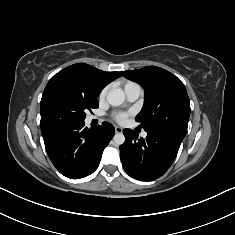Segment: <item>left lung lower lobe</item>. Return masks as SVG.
<instances>
[{"label": "left lung lower lobe", "mask_w": 235, "mask_h": 235, "mask_svg": "<svg viewBox=\"0 0 235 235\" xmlns=\"http://www.w3.org/2000/svg\"><path fill=\"white\" fill-rule=\"evenodd\" d=\"M146 132V139H138L132 130H123L125 142L120 146V158L129 176L152 181L169 169L183 138L169 132Z\"/></svg>", "instance_id": "left-lung-lower-lobe-1"}]
</instances>
